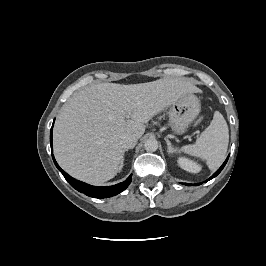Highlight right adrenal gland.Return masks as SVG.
<instances>
[{"instance_id":"right-adrenal-gland-1","label":"right adrenal gland","mask_w":266,"mask_h":266,"mask_svg":"<svg viewBox=\"0 0 266 266\" xmlns=\"http://www.w3.org/2000/svg\"><path fill=\"white\" fill-rule=\"evenodd\" d=\"M125 151H128V150H125ZM123 162H124V158H122V161H121V165H120V171H121V169L123 168Z\"/></svg>"}]
</instances>
